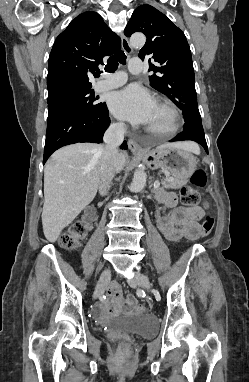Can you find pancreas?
I'll list each match as a JSON object with an SVG mask.
<instances>
[{
	"label": "pancreas",
	"instance_id": "1",
	"mask_svg": "<svg viewBox=\"0 0 249 382\" xmlns=\"http://www.w3.org/2000/svg\"><path fill=\"white\" fill-rule=\"evenodd\" d=\"M186 183H187L186 178L174 177L173 180L163 181L162 182L163 186H162V188H160V190H163L164 188H166V189H179L183 185H185Z\"/></svg>",
	"mask_w": 249,
	"mask_h": 382
}]
</instances>
